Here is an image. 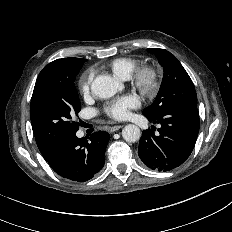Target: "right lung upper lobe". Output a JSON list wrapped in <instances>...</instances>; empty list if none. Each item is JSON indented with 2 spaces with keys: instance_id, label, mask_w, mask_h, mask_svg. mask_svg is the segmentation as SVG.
Listing matches in <instances>:
<instances>
[{
  "instance_id": "right-lung-upper-lobe-1",
  "label": "right lung upper lobe",
  "mask_w": 232,
  "mask_h": 232,
  "mask_svg": "<svg viewBox=\"0 0 232 232\" xmlns=\"http://www.w3.org/2000/svg\"><path fill=\"white\" fill-rule=\"evenodd\" d=\"M50 155H51V154H44L43 157H44V159L46 160V159H48V158L50 157Z\"/></svg>"
}]
</instances>
